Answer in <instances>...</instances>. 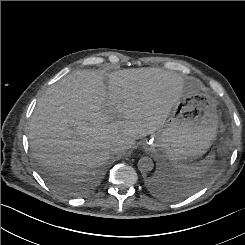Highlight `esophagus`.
Listing matches in <instances>:
<instances>
[{
    "label": "esophagus",
    "instance_id": "1",
    "mask_svg": "<svg viewBox=\"0 0 245 245\" xmlns=\"http://www.w3.org/2000/svg\"><path fill=\"white\" fill-rule=\"evenodd\" d=\"M145 147H146V148H148V147H149V144H148V143H146V144H145Z\"/></svg>",
    "mask_w": 245,
    "mask_h": 245
}]
</instances>
